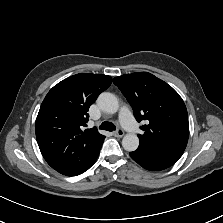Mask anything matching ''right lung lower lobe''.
Wrapping results in <instances>:
<instances>
[{"label": "right lung lower lobe", "mask_w": 223, "mask_h": 223, "mask_svg": "<svg viewBox=\"0 0 223 223\" xmlns=\"http://www.w3.org/2000/svg\"><path fill=\"white\" fill-rule=\"evenodd\" d=\"M101 149V148H100ZM99 152H100V150H99ZM99 152L97 153V155L93 158V160L79 173V174H81V173H83V172H85L88 168H90L93 164H94V162L96 161V159H97V157H98V155H99Z\"/></svg>", "instance_id": "1"}]
</instances>
